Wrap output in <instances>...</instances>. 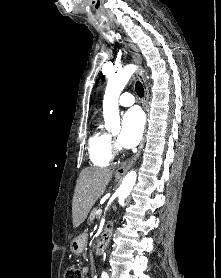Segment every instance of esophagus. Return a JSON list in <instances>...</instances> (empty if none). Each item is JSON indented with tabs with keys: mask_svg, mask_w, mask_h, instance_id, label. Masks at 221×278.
<instances>
[{
	"mask_svg": "<svg viewBox=\"0 0 221 278\" xmlns=\"http://www.w3.org/2000/svg\"><path fill=\"white\" fill-rule=\"evenodd\" d=\"M125 41L127 42L128 46L131 49V54H132V58H133L134 62L141 66L142 58H141L138 48L129 39L125 38ZM137 74L144 87L143 107H144L146 114H148V98H149L148 86H147L146 79L144 77L142 69H139ZM144 143H145V135L142 138V141H141V144L139 146L137 153L128 162H125L120 167H118L115 171V175L123 176L127 173V171L132 167V165L136 162V160L140 156Z\"/></svg>",
	"mask_w": 221,
	"mask_h": 278,
	"instance_id": "obj_1",
	"label": "esophagus"
}]
</instances>
